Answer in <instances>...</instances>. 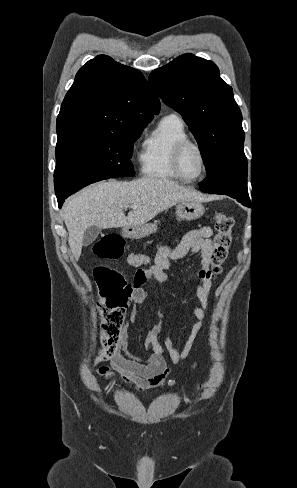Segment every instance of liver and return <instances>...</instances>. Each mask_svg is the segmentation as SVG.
<instances>
[{
	"label": "liver",
	"mask_w": 297,
	"mask_h": 488,
	"mask_svg": "<svg viewBox=\"0 0 297 488\" xmlns=\"http://www.w3.org/2000/svg\"><path fill=\"white\" fill-rule=\"evenodd\" d=\"M202 201V194L163 178L143 177L133 181L108 180L93 184L70 197L63 208L68 243L76 260L90 226L102 229L139 226L160 212L184 201ZM136 205L125 216L123 209Z\"/></svg>",
	"instance_id": "obj_1"
}]
</instances>
